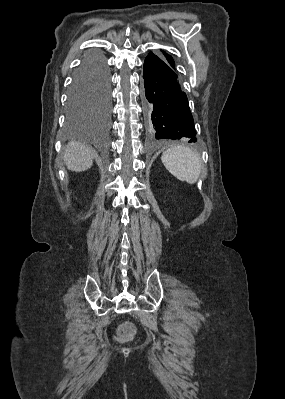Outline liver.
Masks as SVG:
<instances>
[{"mask_svg":"<svg viewBox=\"0 0 285 399\" xmlns=\"http://www.w3.org/2000/svg\"><path fill=\"white\" fill-rule=\"evenodd\" d=\"M95 151L88 145L71 141L63 153V160L71 171L82 172L91 168Z\"/></svg>","mask_w":285,"mask_h":399,"instance_id":"obj_1","label":"liver"}]
</instances>
